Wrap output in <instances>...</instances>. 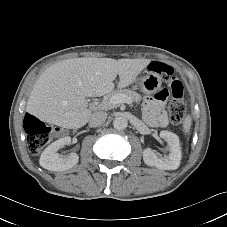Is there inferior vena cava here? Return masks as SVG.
Returning a JSON list of instances; mask_svg holds the SVG:
<instances>
[{
    "label": "inferior vena cava",
    "instance_id": "obj_1",
    "mask_svg": "<svg viewBox=\"0 0 227 227\" xmlns=\"http://www.w3.org/2000/svg\"><path fill=\"white\" fill-rule=\"evenodd\" d=\"M107 118V114L102 111H98L92 114L89 119V126L90 127H98L102 125Z\"/></svg>",
    "mask_w": 227,
    "mask_h": 227
}]
</instances>
